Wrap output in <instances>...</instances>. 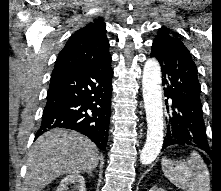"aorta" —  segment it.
I'll return each instance as SVG.
<instances>
[{
	"label": "aorta",
	"instance_id": "obj_1",
	"mask_svg": "<svg viewBox=\"0 0 221 191\" xmlns=\"http://www.w3.org/2000/svg\"><path fill=\"white\" fill-rule=\"evenodd\" d=\"M142 88L147 120V137L140 153V161L142 164H150L161 151L164 126L161 68L155 58L148 59L144 65Z\"/></svg>",
	"mask_w": 221,
	"mask_h": 191
}]
</instances>
